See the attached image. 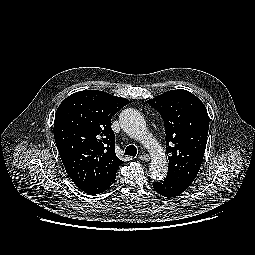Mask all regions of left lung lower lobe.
I'll use <instances>...</instances> for the list:
<instances>
[{
    "mask_svg": "<svg viewBox=\"0 0 255 255\" xmlns=\"http://www.w3.org/2000/svg\"><path fill=\"white\" fill-rule=\"evenodd\" d=\"M190 185L189 182L176 180L167 176L164 180L153 183L155 191L167 198L182 194Z\"/></svg>",
    "mask_w": 255,
    "mask_h": 255,
    "instance_id": "obj_1",
    "label": "left lung lower lobe"
}]
</instances>
